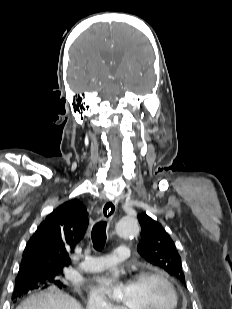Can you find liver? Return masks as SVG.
I'll return each instance as SVG.
<instances>
[{"label": "liver", "mask_w": 232, "mask_h": 309, "mask_svg": "<svg viewBox=\"0 0 232 309\" xmlns=\"http://www.w3.org/2000/svg\"><path fill=\"white\" fill-rule=\"evenodd\" d=\"M16 309H83L68 294L54 288L35 293L26 298Z\"/></svg>", "instance_id": "obj_1"}]
</instances>
